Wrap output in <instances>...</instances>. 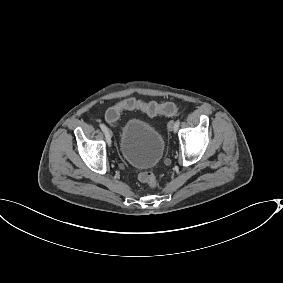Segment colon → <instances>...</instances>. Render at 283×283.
<instances>
[{
	"label": "colon",
	"instance_id": "colon-1",
	"mask_svg": "<svg viewBox=\"0 0 283 283\" xmlns=\"http://www.w3.org/2000/svg\"><path fill=\"white\" fill-rule=\"evenodd\" d=\"M127 110H140L151 116L157 114L173 115L178 111V106L173 102L158 104L156 102H143L135 98H128L113 106L106 112V121L109 125H114L121 113ZM138 179L150 187L157 185V180L153 172L142 171L138 174Z\"/></svg>",
	"mask_w": 283,
	"mask_h": 283
}]
</instances>
